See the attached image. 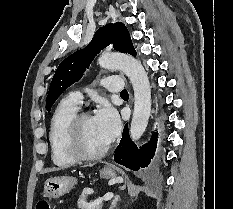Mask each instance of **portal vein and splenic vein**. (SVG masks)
Masks as SVG:
<instances>
[{"instance_id":"obj_1","label":"portal vein and splenic vein","mask_w":233,"mask_h":209,"mask_svg":"<svg viewBox=\"0 0 233 209\" xmlns=\"http://www.w3.org/2000/svg\"><path fill=\"white\" fill-rule=\"evenodd\" d=\"M113 198V194H106L103 198H99L98 200H105V201H108V200H111Z\"/></svg>"}]
</instances>
